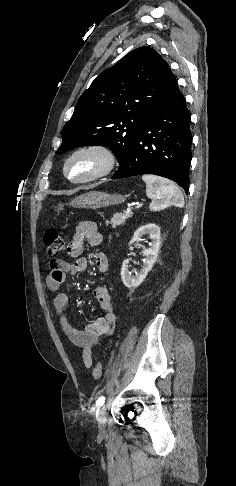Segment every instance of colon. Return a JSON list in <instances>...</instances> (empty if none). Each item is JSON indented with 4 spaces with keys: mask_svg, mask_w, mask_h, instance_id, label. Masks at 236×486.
Returning a JSON list of instances; mask_svg holds the SVG:
<instances>
[{
    "mask_svg": "<svg viewBox=\"0 0 236 486\" xmlns=\"http://www.w3.org/2000/svg\"><path fill=\"white\" fill-rule=\"evenodd\" d=\"M44 242L47 253L50 257L59 255L65 247V240L57 230H48L44 234ZM103 368L101 363L97 362L92 370V375L95 380H99L102 376Z\"/></svg>",
    "mask_w": 236,
    "mask_h": 486,
    "instance_id": "1",
    "label": "colon"
}]
</instances>
